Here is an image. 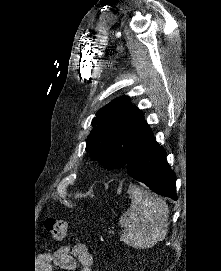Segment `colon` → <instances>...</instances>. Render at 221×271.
Wrapping results in <instances>:
<instances>
[{
  "mask_svg": "<svg viewBox=\"0 0 221 271\" xmlns=\"http://www.w3.org/2000/svg\"><path fill=\"white\" fill-rule=\"evenodd\" d=\"M46 230L55 241H62L66 236V223L64 220L48 217L46 220Z\"/></svg>",
  "mask_w": 221,
  "mask_h": 271,
  "instance_id": "obj_1",
  "label": "colon"
}]
</instances>
